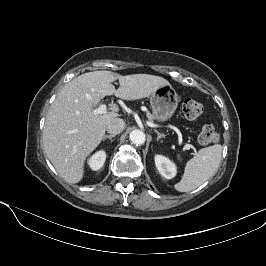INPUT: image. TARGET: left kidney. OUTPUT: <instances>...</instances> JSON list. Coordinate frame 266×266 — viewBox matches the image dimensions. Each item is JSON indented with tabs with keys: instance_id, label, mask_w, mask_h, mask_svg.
<instances>
[{
	"instance_id": "1",
	"label": "left kidney",
	"mask_w": 266,
	"mask_h": 266,
	"mask_svg": "<svg viewBox=\"0 0 266 266\" xmlns=\"http://www.w3.org/2000/svg\"><path fill=\"white\" fill-rule=\"evenodd\" d=\"M155 165L159 173L166 179H172L176 175V165L165 156L156 155Z\"/></svg>"
}]
</instances>
